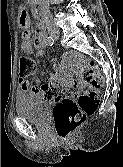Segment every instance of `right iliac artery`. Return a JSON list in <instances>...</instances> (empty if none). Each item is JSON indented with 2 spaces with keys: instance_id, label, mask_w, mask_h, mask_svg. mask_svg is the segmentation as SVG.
Instances as JSON below:
<instances>
[{
  "instance_id": "82829eb1",
  "label": "right iliac artery",
  "mask_w": 123,
  "mask_h": 167,
  "mask_svg": "<svg viewBox=\"0 0 123 167\" xmlns=\"http://www.w3.org/2000/svg\"><path fill=\"white\" fill-rule=\"evenodd\" d=\"M44 42L48 46H52L54 44V39L50 36H45L44 37Z\"/></svg>"
}]
</instances>
